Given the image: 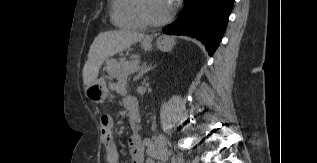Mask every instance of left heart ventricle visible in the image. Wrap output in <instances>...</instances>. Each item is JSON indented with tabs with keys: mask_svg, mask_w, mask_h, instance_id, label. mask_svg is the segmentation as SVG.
Segmentation results:
<instances>
[{
	"mask_svg": "<svg viewBox=\"0 0 317 163\" xmlns=\"http://www.w3.org/2000/svg\"><path fill=\"white\" fill-rule=\"evenodd\" d=\"M146 10L154 20L165 18L171 11L167 0H145Z\"/></svg>",
	"mask_w": 317,
	"mask_h": 163,
	"instance_id": "1",
	"label": "left heart ventricle"
}]
</instances>
